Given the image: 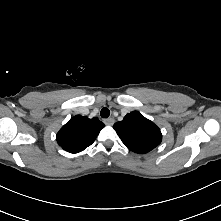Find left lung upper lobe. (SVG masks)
<instances>
[{
    "label": "left lung upper lobe",
    "mask_w": 221,
    "mask_h": 221,
    "mask_svg": "<svg viewBox=\"0 0 221 221\" xmlns=\"http://www.w3.org/2000/svg\"><path fill=\"white\" fill-rule=\"evenodd\" d=\"M113 128L126 147L136 153H147L162 140L160 129L138 111L127 114Z\"/></svg>",
    "instance_id": "1"
}]
</instances>
